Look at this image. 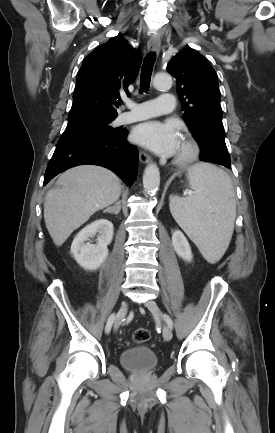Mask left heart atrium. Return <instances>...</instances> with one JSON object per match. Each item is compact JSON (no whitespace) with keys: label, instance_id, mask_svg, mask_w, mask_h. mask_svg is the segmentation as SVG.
Instances as JSON below:
<instances>
[{"label":"left heart atrium","instance_id":"39dd6f15","mask_svg":"<svg viewBox=\"0 0 275 433\" xmlns=\"http://www.w3.org/2000/svg\"><path fill=\"white\" fill-rule=\"evenodd\" d=\"M134 142L162 156L177 152L181 141L176 126L171 122L150 120L137 125L132 132Z\"/></svg>","mask_w":275,"mask_h":433}]
</instances>
